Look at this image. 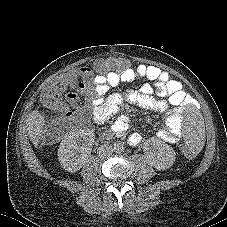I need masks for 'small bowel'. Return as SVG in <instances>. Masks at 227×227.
<instances>
[{
	"mask_svg": "<svg viewBox=\"0 0 227 227\" xmlns=\"http://www.w3.org/2000/svg\"><path fill=\"white\" fill-rule=\"evenodd\" d=\"M78 72L87 81L74 79L69 87L72 91L66 94V99L75 110L66 114L68 120L79 118L83 109L91 111L94 123H106L116 113L121 102L116 95L105 97L108 91L121 83L147 79L151 84H145L139 90L128 93V101L143 109L165 113L164 127L157 132L159 139L175 143L182 137L181 113L172 108L189 103V98L182 84L171 78L166 71L153 65L140 64L135 68L127 67L94 77L87 67L80 68ZM111 132L115 137L126 139L130 145H138L143 140L141 133L129 131L125 118L116 119Z\"/></svg>",
	"mask_w": 227,
	"mask_h": 227,
	"instance_id": "c3829d8e",
	"label": "small bowel"
}]
</instances>
